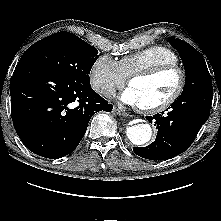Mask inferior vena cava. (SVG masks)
<instances>
[{"instance_id": "1", "label": "inferior vena cava", "mask_w": 221, "mask_h": 221, "mask_svg": "<svg viewBox=\"0 0 221 221\" xmlns=\"http://www.w3.org/2000/svg\"><path fill=\"white\" fill-rule=\"evenodd\" d=\"M104 92L106 93V94H110V93H112L113 92V90H112V88L111 87H105L104 88Z\"/></svg>"}]
</instances>
